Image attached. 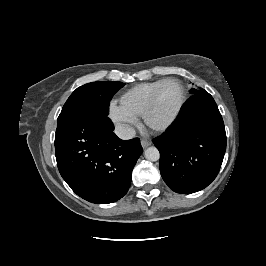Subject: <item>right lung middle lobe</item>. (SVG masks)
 I'll list each match as a JSON object with an SVG mask.
<instances>
[{"instance_id":"1","label":"right lung middle lobe","mask_w":266,"mask_h":266,"mask_svg":"<svg viewBox=\"0 0 266 266\" xmlns=\"http://www.w3.org/2000/svg\"><path fill=\"white\" fill-rule=\"evenodd\" d=\"M124 86L122 82H92L78 87L64 104L57 119L56 133H59L86 111L108 114L112 96Z\"/></svg>"}]
</instances>
